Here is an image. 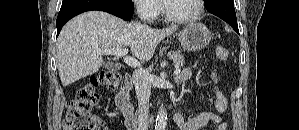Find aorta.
Masks as SVG:
<instances>
[{"instance_id": "762f6f07", "label": "aorta", "mask_w": 299, "mask_h": 130, "mask_svg": "<svg viewBox=\"0 0 299 130\" xmlns=\"http://www.w3.org/2000/svg\"><path fill=\"white\" fill-rule=\"evenodd\" d=\"M167 124V115L164 108H159L157 117H156V125L155 130H165Z\"/></svg>"}]
</instances>
